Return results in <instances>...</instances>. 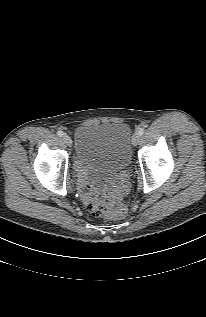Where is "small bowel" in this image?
Here are the masks:
<instances>
[{
  "label": "small bowel",
  "mask_w": 206,
  "mask_h": 317,
  "mask_svg": "<svg viewBox=\"0 0 206 317\" xmlns=\"http://www.w3.org/2000/svg\"><path fill=\"white\" fill-rule=\"evenodd\" d=\"M80 179H81V194H82L84 202L87 203L89 186L85 182L84 176L82 173H81Z\"/></svg>",
  "instance_id": "1"
}]
</instances>
